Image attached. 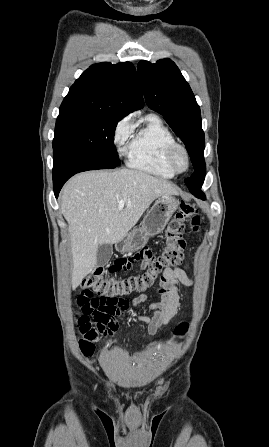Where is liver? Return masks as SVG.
<instances>
[{
	"instance_id": "6515ba94",
	"label": "liver",
	"mask_w": 269,
	"mask_h": 447,
	"mask_svg": "<svg viewBox=\"0 0 269 447\" xmlns=\"http://www.w3.org/2000/svg\"><path fill=\"white\" fill-rule=\"evenodd\" d=\"M160 196H178L171 182L137 170H99L71 178L61 194L73 257L72 289L97 263L102 243H118ZM120 200L125 208L118 210Z\"/></svg>"
}]
</instances>
